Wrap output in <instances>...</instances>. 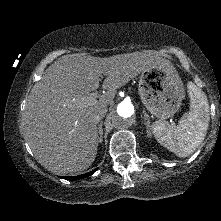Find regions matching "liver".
I'll return each instance as SVG.
<instances>
[{
	"label": "liver",
	"mask_w": 221,
	"mask_h": 221,
	"mask_svg": "<svg viewBox=\"0 0 221 221\" xmlns=\"http://www.w3.org/2000/svg\"><path fill=\"white\" fill-rule=\"evenodd\" d=\"M172 68L167 59L143 52L99 58L65 57L55 61L32 88L26 102L23 127L38 162L57 174L90 167L97 155L99 134L95 117L112 103L116 90L142 71ZM106 90L91 105L92 91Z\"/></svg>",
	"instance_id": "1"
}]
</instances>
